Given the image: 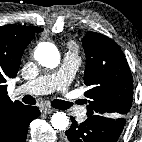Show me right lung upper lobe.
Here are the masks:
<instances>
[{
    "label": "right lung upper lobe",
    "mask_w": 142,
    "mask_h": 142,
    "mask_svg": "<svg viewBox=\"0 0 142 142\" xmlns=\"http://www.w3.org/2000/svg\"><path fill=\"white\" fill-rule=\"evenodd\" d=\"M43 29L32 26H0V123L24 106L12 102L7 93V78L16 77L24 49Z\"/></svg>",
    "instance_id": "cb5924a9"
}]
</instances>
